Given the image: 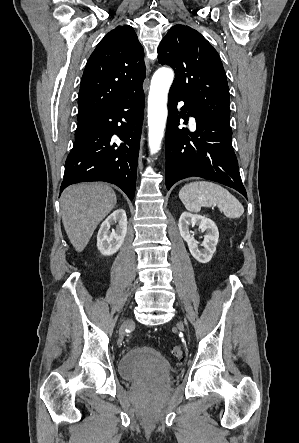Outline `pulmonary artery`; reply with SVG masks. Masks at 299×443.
Instances as JSON below:
<instances>
[{"instance_id": "pulmonary-artery-1", "label": "pulmonary artery", "mask_w": 299, "mask_h": 443, "mask_svg": "<svg viewBox=\"0 0 299 443\" xmlns=\"http://www.w3.org/2000/svg\"><path fill=\"white\" fill-rule=\"evenodd\" d=\"M189 121L192 125L195 124V119L193 117H190Z\"/></svg>"}]
</instances>
